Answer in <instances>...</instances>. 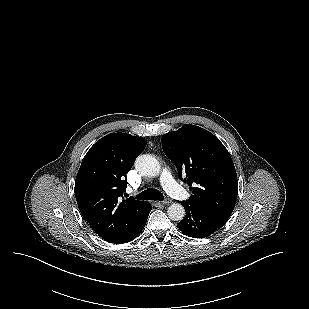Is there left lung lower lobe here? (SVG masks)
Returning <instances> with one entry per match:
<instances>
[{
    "instance_id": "1",
    "label": "left lung lower lobe",
    "mask_w": 309,
    "mask_h": 309,
    "mask_svg": "<svg viewBox=\"0 0 309 309\" xmlns=\"http://www.w3.org/2000/svg\"><path fill=\"white\" fill-rule=\"evenodd\" d=\"M182 205L186 210V216L177 226L182 233L189 237H207L220 229L227 221L226 218L200 205H193L187 202H182Z\"/></svg>"
}]
</instances>
